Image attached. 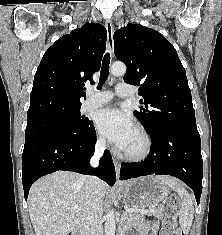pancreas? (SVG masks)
Wrapping results in <instances>:
<instances>
[{
  "instance_id": "pancreas-1",
  "label": "pancreas",
  "mask_w": 222,
  "mask_h": 235,
  "mask_svg": "<svg viewBox=\"0 0 222 235\" xmlns=\"http://www.w3.org/2000/svg\"><path fill=\"white\" fill-rule=\"evenodd\" d=\"M152 215L156 216L159 219L163 218L162 209L155 208L154 212H152ZM126 216H127V220L130 223H136L142 219V215H140L138 212H129L127 213Z\"/></svg>"
}]
</instances>
